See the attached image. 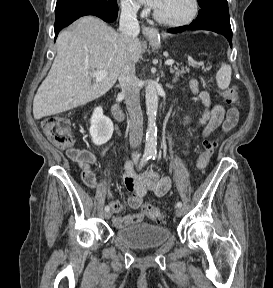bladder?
I'll use <instances>...</instances> for the list:
<instances>
[{
    "mask_svg": "<svg viewBox=\"0 0 273 288\" xmlns=\"http://www.w3.org/2000/svg\"><path fill=\"white\" fill-rule=\"evenodd\" d=\"M115 237L129 248L148 249L162 246L171 238V232L164 226L138 223L121 227Z\"/></svg>",
    "mask_w": 273,
    "mask_h": 288,
    "instance_id": "obj_1",
    "label": "bladder"
}]
</instances>
